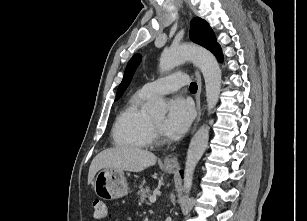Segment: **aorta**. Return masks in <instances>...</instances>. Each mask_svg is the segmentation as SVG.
<instances>
[{
  "mask_svg": "<svg viewBox=\"0 0 307 221\" xmlns=\"http://www.w3.org/2000/svg\"><path fill=\"white\" fill-rule=\"evenodd\" d=\"M192 61L201 70L206 87V101L209 114L218 103L221 91V70L212 53L204 48L181 45L172 47L162 52L159 62V70L168 72L185 61ZM148 112L156 115H165L166 105L163 99H158L148 106ZM209 140V127L202 125L194 134L187 151L184 169V191L189 193L193 183L195 167L204 154Z\"/></svg>",
  "mask_w": 307,
  "mask_h": 221,
  "instance_id": "aorta-1",
  "label": "aorta"
}]
</instances>
